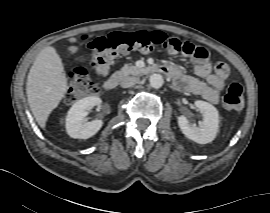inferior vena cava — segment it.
Here are the masks:
<instances>
[{"instance_id":"obj_1","label":"inferior vena cava","mask_w":270,"mask_h":213,"mask_svg":"<svg viewBox=\"0 0 270 213\" xmlns=\"http://www.w3.org/2000/svg\"><path fill=\"white\" fill-rule=\"evenodd\" d=\"M140 79L138 77H125L121 81V87L122 88H128L132 87L136 84H138Z\"/></svg>"}]
</instances>
